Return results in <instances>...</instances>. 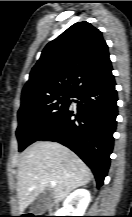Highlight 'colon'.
Here are the masks:
<instances>
[{
  "mask_svg": "<svg viewBox=\"0 0 132 217\" xmlns=\"http://www.w3.org/2000/svg\"><path fill=\"white\" fill-rule=\"evenodd\" d=\"M23 217H34V216H23Z\"/></svg>",
  "mask_w": 132,
  "mask_h": 217,
  "instance_id": "1",
  "label": "colon"
}]
</instances>
